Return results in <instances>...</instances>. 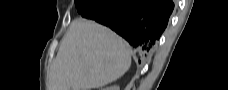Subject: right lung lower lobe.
<instances>
[{
	"mask_svg": "<svg viewBox=\"0 0 228 90\" xmlns=\"http://www.w3.org/2000/svg\"><path fill=\"white\" fill-rule=\"evenodd\" d=\"M95 13L83 17L106 25L134 48L139 59L151 54L165 30L174 4L171 0H104ZM140 62V60H139Z\"/></svg>",
	"mask_w": 228,
	"mask_h": 90,
	"instance_id": "98d812e1",
	"label": "right lung lower lobe"
}]
</instances>
